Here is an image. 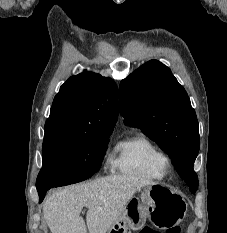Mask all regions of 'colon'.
Returning a JSON list of instances; mask_svg holds the SVG:
<instances>
[{
  "label": "colon",
  "mask_w": 227,
  "mask_h": 233,
  "mask_svg": "<svg viewBox=\"0 0 227 233\" xmlns=\"http://www.w3.org/2000/svg\"><path fill=\"white\" fill-rule=\"evenodd\" d=\"M181 230L179 227H174L171 229H168L165 233H180ZM139 233H162L160 230L151 227V226H146L140 230Z\"/></svg>",
  "instance_id": "colon-1"
}]
</instances>
